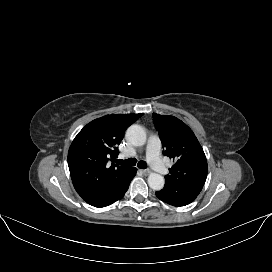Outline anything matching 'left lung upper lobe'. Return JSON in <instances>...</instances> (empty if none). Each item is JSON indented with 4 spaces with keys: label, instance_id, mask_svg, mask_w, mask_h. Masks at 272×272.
<instances>
[{
    "label": "left lung upper lobe",
    "instance_id": "5c2ea615",
    "mask_svg": "<svg viewBox=\"0 0 272 272\" xmlns=\"http://www.w3.org/2000/svg\"><path fill=\"white\" fill-rule=\"evenodd\" d=\"M164 148L163 154L175 164L165 176L166 185L201 186L207 177V160L192 130L174 116L152 115Z\"/></svg>",
    "mask_w": 272,
    "mask_h": 272
}]
</instances>
